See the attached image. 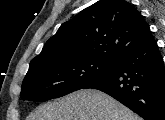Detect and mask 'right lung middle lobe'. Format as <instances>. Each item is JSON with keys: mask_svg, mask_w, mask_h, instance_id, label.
I'll return each mask as SVG.
<instances>
[{"mask_svg": "<svg viewBox=\"0 0 165 120\" xmlns=\"http://www.w3.org/2000/svg\"><path fill=\"white\" fill-rule=\"evenodd\" d=\"M114 64L94 58H73L34 65L23 80L20 97L40 102L62 97L104 77Z\"/></svg>", "mask_w": 165, "mask_h": 120, "instance_id": "right-lung-middle-lobe-1", "label": "right lung middle lobe"}]
</instances>
